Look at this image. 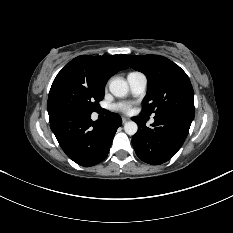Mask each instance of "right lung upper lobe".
Instances as JSON below:
<instances>
[{"label":"right lung upper lobe","mask_w":233,"mask_h":233,"mask_svg":"<svg viewBox=\"0 0 233 233\" xmlns=\"http://www.w3.org/2000/svg\"><path fill=\"white\" fill-rule=\"evenodd\" d=\"M126 68L122 55H81L71 60L56 77L73 76L104 88L112 75Z\"/></svg>","instance_id":"right-lung-upper-lobe-1"}]
</instances>
